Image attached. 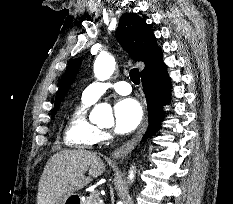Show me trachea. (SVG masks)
I'll return each mask as SVG.
<instances>
[{
  "label": "trachea",
  "instance_id": "trachea-1",
  "mask_svg": "<svg viewBox=\"0 0 233 204\" xmlns=\"http://www.w3.org/2000/svg\"><path fill=\"white\" fill-rule=\"evenodd\" d=\"M129 75H130L131 81L134 84H136V85L140 84V74H139V70L137 68L131 69Z\"/></svg>",
  "mask_w": 233,
  "mask_h": 204
}]
</instances>
